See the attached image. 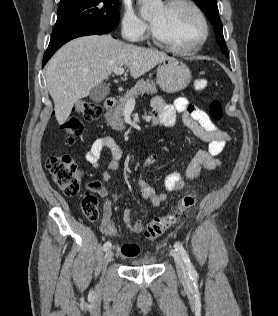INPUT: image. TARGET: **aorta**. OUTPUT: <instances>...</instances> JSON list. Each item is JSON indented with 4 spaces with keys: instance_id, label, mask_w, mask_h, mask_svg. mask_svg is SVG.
Wrapping results in <instances>:
<instances>
[{
    "instance_id": "obj_1",
    "label": "aorta",
    "mask_w": 278,
    "mask_h": 316,
    "mask_svg": "<svg viewBox=\"0 0 278 316\" xmlns=\"http://www.w3.org/2000/svg\"><path fill=\"white\" fill-rule=\"evenodd\" d=\"M139 2L142 4L141 15L148 17L156 11L161 0H139Z\"/></svg>"
}]
</instances>
